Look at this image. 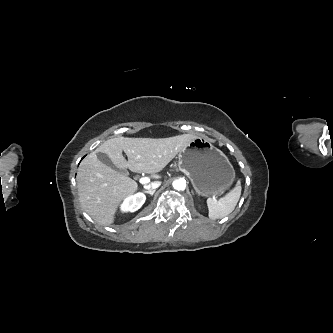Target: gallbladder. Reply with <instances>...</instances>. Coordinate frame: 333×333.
Here are the masks:
<instances>
[{
    "mask_svg": "<svg viewBox=\"0 0 333 333\" xmlns=\"http://www.w3.org/2000/svg\"><path fill=\"white\" fill-rule=\"evenodd\" d=\"M97 157L102 163L114 167V165L112 164V162L110 161L109 157L106 154L98 153ZM117 170L122 174H128V172L125 169H117Z\"/></svg>",
    "mask_w": 333,
    "mask_h": 333,
    "instance_id": "bac80fb5",
    "label": "gallbladder"
}]
</instances>
